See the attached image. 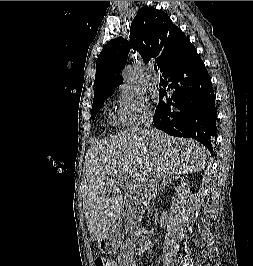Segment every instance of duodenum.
Instances as JSON below:
<instances>
[{"mask_svg":"<svg viewBox=\"0 0 253 266\" xmlns=\"http://www.w3.org/2000/svg\"><path fill=\"white\" fill-rule=\"evenodd\" d=\"M107 239H110V237H107ZM131 258L126 256L122 259V266H131Z\"/></svg>","mask_w":253,"mask_h":266,"instance_id":"duodenum-1","label":"duodenum"}]
</instances>
